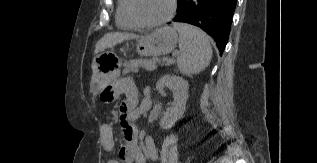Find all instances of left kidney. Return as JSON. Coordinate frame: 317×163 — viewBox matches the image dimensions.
Listing matches in <instances>:
<instances>
[{
  "label": "left kidney",
  "mask_w": 317,
  "mask_h": 163,
  "mask_svg": "<svg viewBox=\"0 0 317 163\" xmlns=\"http://www.w3.org/2000/svg\"><path fill=\"white\" fill-rule=\"evenodd\" d=\"M165 88L173 89L175 94L171 107L167 108L159 125L162 129H170L184 114L188 99V82L182 77L167 74L156 83V89L159 93L163 94Z\"/></svg>",
  "instance_id": "5707ae66"
}]
</instances>
